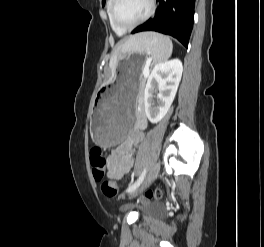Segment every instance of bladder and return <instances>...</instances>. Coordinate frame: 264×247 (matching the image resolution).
<instances>
[{"label":"bladder","mask_w":264,"mask_h":247,"mask_svg":"<svg viewBox=\"0 0 264 247\" xmlns=\"http://www.w3.org/2000/svg\"><path fill=\"white\" fill-rule=\"evenodd\" d=\"M145 210L150 214H154V215L158 214L156 207L154 205H151V204L145 206Z\"/></svg>","instance_id":"obj_1"}]
</instances>
